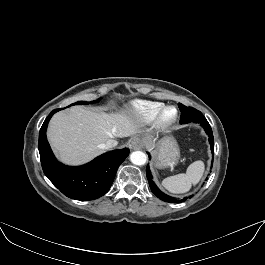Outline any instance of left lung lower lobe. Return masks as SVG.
I'll list each match as a JSON object with an SVG mask.
<instances>
[{
	"mask_svg": "<svg viewBox=\"0 0 265 265\" xmlns=\"http://www.w3.org/2000/svg\"><path fill=\"white\" fill-rule=\"evenodd\" d=\"M191 122H194V123H199L203 126L205 132L207 133V135L209 136V143L211 145V151H212V154H214V137H213V133H212V129L208 123V121L206 120V118L203 116V117H200V118H196L194 120H192ZM146 175H147V179H148V182H149V186L151 188V191L161 200L165 201V202H170V203H181V202H184L186 201L187 197L186 198H183V199H178V198H174V197H171L165 193H163L157 186L156 184L154 183L153 181V177H152V174L149 170V166H147L146 168Z\"/></svg>",
	"mask_w": 265,
	"mask_h": 265,
	"instance_id": "obj_1",
	"label": "left lung lower lobe"
}]
</instances>
